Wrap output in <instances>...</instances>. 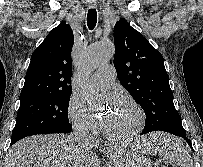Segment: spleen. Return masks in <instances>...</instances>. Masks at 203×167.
<instances>
[{"label": "spleen", "instance_id": "1", "mask_svg": "<svg viewBox=\"0 0 203 167\" xmlns=\"http://www.w3.org/2000/svg\"><path fill=\"white\" fill-rule=\"evenodd\" d=\"M146 152L159 154L181 167H193V160L183 142L162 133L153 134L145 144Z\"/></svg>", "mask_w": 203, "mask_h": 167}]
</instances>
